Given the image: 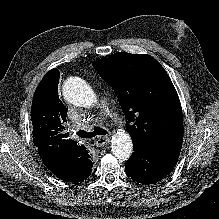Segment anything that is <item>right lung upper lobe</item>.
<instances>
[{
	"label": "right lung upper lobe",
	"instance_id": "obj_1",
	"mask_svg": "<svg viewBox=\"0 0 219 219\" xmlns=\"http://www.w3.org/2000/svg\"><path fill=\"white\" fill-rule=\"evenodd\" d=\"M58 81L59 71L54 68L36 88L31 108L33 143L53 174L64 181L78 182L93 164L86 148L67 139L64 133L68 109L59 99ZM73 154L79 159L69 158Z\"/></svg>",
	"mask_w": 219,
	"mask_h": 219
}]
</instances>
